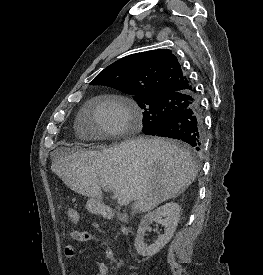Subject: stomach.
<instances>
[{
  "mask_svg": "<svg viewBox=\"0 0 263 275\" xmlns=\"http://www.w3.org/2000/svg\"><path fill=\"white\" fill-rule=\"evenodd\" d=\"M86 208L89 212H91L93 214H97L101 211L102 205H101L100 201H98L96 199H90V200H88V202L86 204Z\"/></svg>",
  "mask_w": 263,
  "mask_h": 275,
  "instance_id": "0dacf381",
  "label": "stomach"
}]
</instances>
